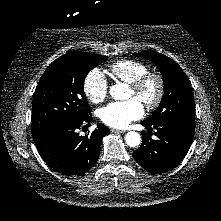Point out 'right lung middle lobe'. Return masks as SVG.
Here are the masks:
<instances>
[{
	"instance_id": "right-lung-middle-lobe-1",
	"label": "right lung middle lobe",
	"mask_w": 221,
	"mask_h": 221,
	"mask_svg": "<svg viewBox=\"0 0 221 221\" xmlns=\"http://www.w3.org/2000/svg\"><path fill=\"white\" fill-rule=\"evenodd\" d=\"M108 57L74 51L57 58L43 73L33 95L31 127L38 134L50 126L90 113L84 80Z\"/></svg>"
}]
</instances>
